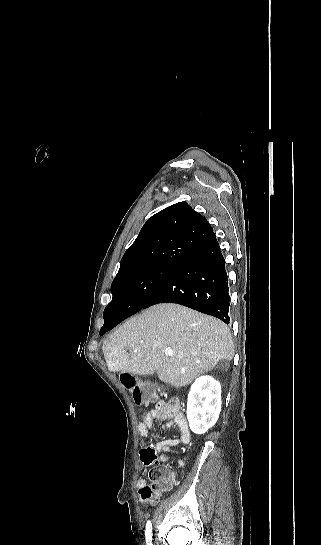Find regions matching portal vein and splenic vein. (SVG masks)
Wrapping results in <instances>:
<instances>
[{"instance_id":"1","label":"portal vein and splenic vein","mask_w":321,"mask_h":545,"mask_svg":"<svg viewBox=\"0 0 321 545\" xmlns=\"http://www.w3.org/2000/svg\"><path fill=\"white\" fill-rule=\"evenodd\" d=\"M166 353H168V355H170V357H171V355H173V351H166Z\"/></svg>"}]
</instances>
